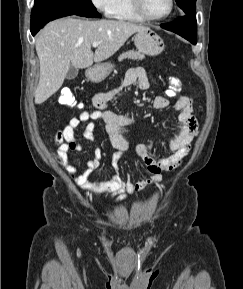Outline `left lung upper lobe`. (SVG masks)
<instances>
[{
    "label": "left lung upper lobe",
    "instance_id": "left-lung-upper-lobe-1",
    "mask_svg": "<svg viewBox=\"0 0 243 289\" xmlns=\"http://www.w3.org/2000/svg\"><path fill=\"white\" fill-rule=\"evenodd\" d=\"M178 6L186 13V14H194L196 11V0H175Z\"/></svg>",
    "mask_w": 243,
    "mask_h": 289
}]
</instances>
